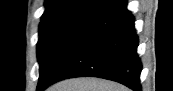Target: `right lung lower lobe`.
Returning a JSON list of instances; mask_svg holds the SVG:
<instances>
[{"label": "right lung lower lobe", "mask_w": 173, "mask_h": 91, "mask_svg": "<svg viewBox=\"0 0 173 91\" xmlns=\"http://www.w3.org/2000/svg\"><path fill=\"white\" fill-rule=\"evenodd\" d=\"M138 43L134 17L127 10L126 0H120L85 22L37 91L80 76L109 79L140 91Z\"/></svg>", "instance_id": "right-lung-lower-lobe-1"}]
</instances>
